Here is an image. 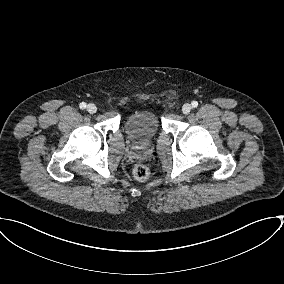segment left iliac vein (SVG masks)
Wrapping results in <instances>:
<instances>
[{"mask_svg":"<svg viewBox=\"0 0 284 284\" xmlns=\"http://www.w3.org/2000/svg\"><path fill=\"white\" fill-rule=\"evenodd\" d=\"M191 110H192V106L188 103L184 104L183 107H182V112L184 114L190 113Z\"/></svg>","mask_w":284,"mask_h":284,"instance_id":"4c4485c4","label":"left iliac vein"}]
</instances>
